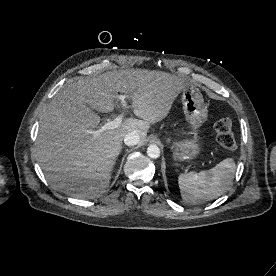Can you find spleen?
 <instances>
[{
    "label": "spleen",
    "mask_w": 276,
    "mask_h": 276,
    "mask_svg": "<svg viewBox=\"0 0 276 276\" xmlns=\"http://www.w3.org/2000/svg\"><path fill=\"white\" fill-rule=\"evenodd\" d=\"M235 170L234 159L226 158L207 171L180 174L178 184L183 201L198 204L218 198L232 183Z\"/></svg>",
    "instance_id": "3e777b00"
}]
</instances>
